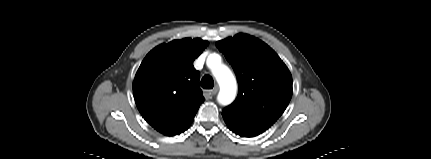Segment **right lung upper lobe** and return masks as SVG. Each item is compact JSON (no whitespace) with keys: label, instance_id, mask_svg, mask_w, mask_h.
Here are the masks:
<instances>
[{"label":"right lung upper lobe","instance_id":"1","mask_svg":"<svg viewBox=\"0 0 431 159\" xmlns=\"http://www.w3.org/2000/svg\"><path fill=\"white\" fill-rule=\"evenodd\" d=\"M207 45L199 38L161 44L147 54L136 73L133 93L137 108L164 135L188 129L204 101L200 73L193 61Z\"/></svg>","mask_w":431,"mask_h":159}]
</instances>
